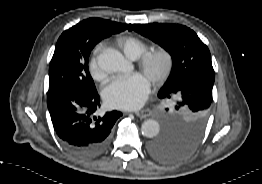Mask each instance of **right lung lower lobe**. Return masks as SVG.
Segmentation results:
<instances>
[{"label": "right lung lower lobe", "instance_id": "right-lung-lower-lobe-1", "mask_svg": "<svg viewBox=\"0 0 262 184\" xmlns=\"http://www.w3.org/2000/svg\"><path fill=\"white\" fill-rule=\"evenodd\" d=\"M53 127L70 150L87 156L100 153L120 112L95 117L100 107L96 92L84 93L68 88H50L47 97Z\"/></svg>", "mask_w": 262, "mask_h": 184}]
</instances>
